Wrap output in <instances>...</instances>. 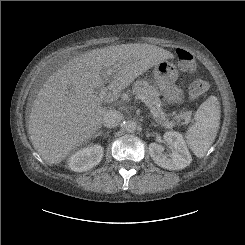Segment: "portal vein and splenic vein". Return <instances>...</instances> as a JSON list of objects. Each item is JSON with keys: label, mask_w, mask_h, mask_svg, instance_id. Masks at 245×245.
<instances>
[{"label": "portal vein and splenic vein", "mask_w": 245, "mask_h": 245, "mask_svg": "<svg viewBox=\"0 0 245 245\" xmlns=\"http://www.w3.org/2000/svg\"><path fill=\"white\" fill-rule=\"evenodd\" d=\"M112 73H113V69H108L106 71V74L108 76L112 75ZM106 90H107L106 88H102L99 91V96L101 98H103L106 95ZM138 99L141 100L143 103H145V105L149 108V110L152 113L154 118H156L157 120L160 119V115H159L157 109L152 105V103L149 101V99L146 96L138 95ZM160 123L166 128H171V127H173V124H174L173 122H167V121H165V122L160 121Z\"/></svg>", "instance_id": "obj_1"}]
</instances>
